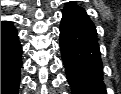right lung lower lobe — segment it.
Returning <instances> with one entry per match:
<instances>
[{
    "label": "right lung lower lobe",
    "mask_w": 121,
    "mask_h": 94,
    "mask_svg": "<svg viewBox=\"0 0 121 94\" xmlns=\"http://www.w3.org/2000/svg\"><path fill=\"white\" fill-rule=\"evenodd\" d=\"M22 47L15 27L1 23V94H18Z\"/></svg>",
    "instance_id": "98d812e1"
}]
</instances>
